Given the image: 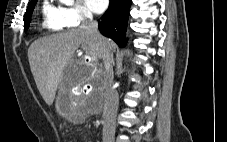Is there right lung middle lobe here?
Here are the masks:
<instances>
[{"mask_svg":"<svg viewBox=\"0 0 227 142\" xmlns=\"http://www.w3.org/2000/svg\"><path fill=\"white\" fill-rule=\"evenodd\" d=\"M37 0L30 3L28 8H27V11L25 13V16H24V28L25 29H28L29 28V23H30V20H31V14H32V11L34 9V6L36 4Z\"/></svg>","mask_w":227,"mask_h":142,"instance_id":"obj_1","label":"right lung middle lobe"}]
</instances>
